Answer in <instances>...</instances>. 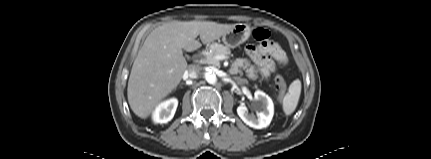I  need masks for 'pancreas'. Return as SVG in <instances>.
Wrapping results in <instances>:
<instances>
[{
    "instance_id": "cf45deb5",
    "label": "pancreas",
    "mask_w": 431,
    "mask_h": 159,
    "mask_svg": "<svg viewBox=\"0 0 431 159\" xmlns=\"http://www.w3.org/2000/svg\"><path fill=\"white\" fill-rule=\"evenodd\" d=\"M220 54L225 55V56L230 55L231 50L229 47L224 46L222 44L213 43L210 46L209 51L204 54L203 62L206 64H209V65L218 66L219 60H216L215 56L220 55ZM246 73H247V77L249 79L256 80L258 78V75H257V73L253 67H251L250 69H247Z\"/></svg>"
}]
</instances>
